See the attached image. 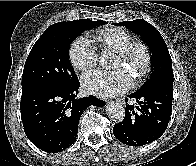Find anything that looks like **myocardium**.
Listing matches in <instances>:
<instances>
[{"instance_id": "f54148a6", "label": "myocardium", "mask_w": 196, "mask_h": 166, "mask_svg": "<svg viewBox=\"0 0 196 166\" xmlns=\"http://www.w3.org/2000/svg\"><path fill=\"white\" fill-rule=\"evenodd\" d=\"M137 53L141 54L142 61L135 73L137 79H143L150 71L151 67V52L147 45L142 41H133L127 47L117 52V55L124 62H132Z\"/></svg>"}]
</instances>
